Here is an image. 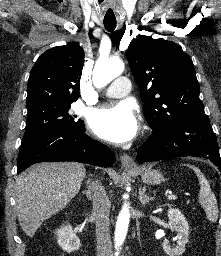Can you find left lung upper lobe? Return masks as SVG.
Masks as SVG:
<instances>
[{
	"label": "left lung upper lobe",
	"instance_id": "obj_1",
	"mask_svg": "<svg viewBox=\"0 0 221 256\" xmlns=\"http://www.w3.org/2000/svg\"><path fill=\"white\" fill-rule=\"evenodd\" d=\"M128 60L153 131L208 119L192 60L178 44L138 36L129 45Z\"/></svg>",
	"mask_w": 221,
	"mask_h": 256
}]
</instances>
